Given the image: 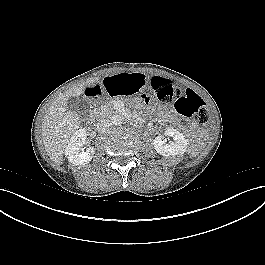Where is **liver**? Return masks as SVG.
Returning a JSON list of instances; mask_svg holds the SVG:
<instances>
[{"mask_svg": "<svg viewBox=\"0 0 265 265\" xmlns=\"http://www.w3.org/2000/svg\"><path fill=\"white\" fill-rule=\"evenodd\" d=\"M98 78L81 82L60 95L49 107L42 122V136L45 149L57 165L63 163V151L71 136L79 129L81 120L76 112L68 109L70 97H78L87 87L98 83Z\"/></svg>", "mask_w": 265, "mask_h": 265, "instance_id": "6515ba94", "label": "liver"}]
</instances>
